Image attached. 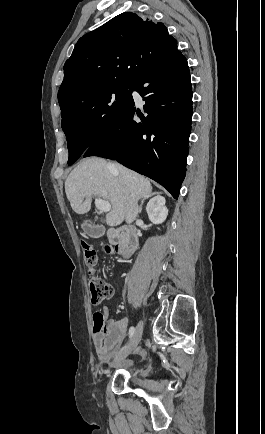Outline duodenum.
I'll return each instance as SVG.
<instances>
[{
    "label": "duodenum",
    "mask_w": 265,
    "mask_h": 434,
    "mask_svg": "<svg viewBox=\"0 0 265 434\" xmlns=\"http://www.w3.org/2000/svg\"><path fill=\"white\" fill-rule=\"evenodd\" d=\"M132 229L137 228L128 225L122 228H110L107 232L108 240L111 244H122V249L119 252L120 259L130 258V232Z\"/></svg>",
    "instance_id": "1"
}]
</instances>
